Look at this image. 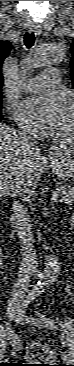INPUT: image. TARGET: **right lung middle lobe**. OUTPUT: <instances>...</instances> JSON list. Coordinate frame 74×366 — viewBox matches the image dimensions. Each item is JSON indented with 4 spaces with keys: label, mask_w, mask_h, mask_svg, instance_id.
I'll use <instances>...</instances> for the list:
<instances>
[{
    "label": "right lung middle lobe",
    "mask_w": 74,
    "mask_h": 366,
    "mask_svg": "<svg viewBox=\"0 0 74 366\" xmlns=\"http://www.w3.org/2000/svg\"><path fill=\"white\" fill-rule=\"evenodd\" d=\"M1 99H2V94L0 93V102H1Z\"/></svg>",
    "instance_id": "obj_1"
}]
</instances>
